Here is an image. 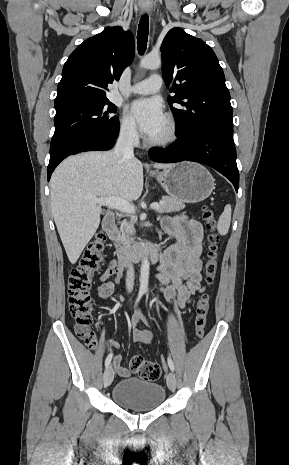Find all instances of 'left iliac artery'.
I'll return each mask as SVG.
<instances>
[{
	"mask_svg": "<svg viewBox=\"0 0 289 465\" xmlns=\"http://www.w3.org/2000/svg\"><path fill=\"white\" fill-rule=\"evenodd\" d=\"M167 361H168L169 368L172 371H174L175 367H174V363H173L172 359L170 357H168Z\"/></svg>",
	"mask_w": 289,
	"mask_h": 465,
	"instance_id": "1",
	"label": "left iliac artery"
}]
</instances>
